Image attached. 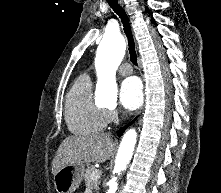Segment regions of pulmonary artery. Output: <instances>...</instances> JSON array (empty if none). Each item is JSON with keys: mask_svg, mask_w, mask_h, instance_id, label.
I'll use <instances>...</instances> for the list:
<instances>
[{"mask_svg": "<svg viewBox=\"0 0 221 193\" xmlns=\"http://www.w3.org/2000/svg\"><path fill=\"white\" fill-rule=\"evenodd\" d=\"M132 72V67L127 63L122 64L119 68V73L123 76L130 75Z\"/></svg>", "mask_w": 221, "mask_h": 193, "instance_id": "obj_1", "label": "pulmonary artery"}]
</instances>
